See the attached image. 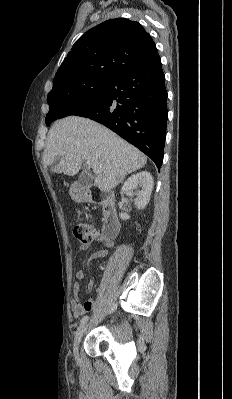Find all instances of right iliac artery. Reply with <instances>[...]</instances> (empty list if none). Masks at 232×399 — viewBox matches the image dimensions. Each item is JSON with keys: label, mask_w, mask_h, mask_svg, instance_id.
I'll use <instances>...</instances> for the list:
<instances>
[{"label": "right iliac artery", "mask_w": 232, "mask_h": 399, "mask_svg": "<svg viewBox=\"0 0 232 399\" xmlns=\"http://www.w3.org/2000/svg\"><path fill=\"white\" fill-rule=\"evenodd\" d=\"M116 308H117V303L113 305V307L109 310L108 314L113 313ZM88 320H89L88 315L83 316L80 320V326H83Z\"/></svg>", "instance_id": "1"}]
</instances>
